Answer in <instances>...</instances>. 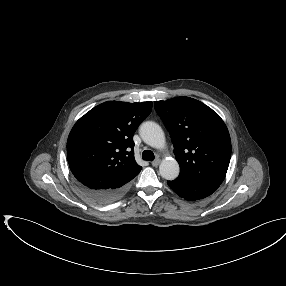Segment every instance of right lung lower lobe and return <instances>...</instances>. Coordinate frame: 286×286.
<instances>
[{
    "mask_svg": "<svg viewBox=\"0 0 286 286\" xmlns=\"http://www.w3.org/2000/svg\"><path fill=\"white\" fill-rule=\"evenodd\" d=\"M77 184L84 194L99 203H108L119 199L129 187L128 183L123 186H109L104 188H93L78 181Z\"/></svg>",
    "mask_w": 286,
    "mask_h": 286,
    "instance_id": "obj_1",
    "label": "right lung lower lobe"
}]
</instances>
